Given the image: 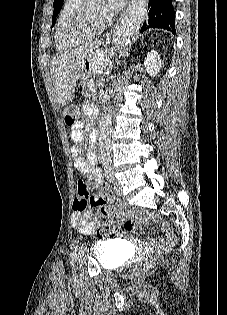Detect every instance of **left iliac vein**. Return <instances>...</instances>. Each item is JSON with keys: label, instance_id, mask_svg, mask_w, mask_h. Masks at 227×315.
<instances>
[{"label": "left iliac vein", "instance_id": "4c4485c4", "mask_svg": "<svg viewBox=\"0 0 227 315\" xmlns=\"http://www.w3.org/2000/svg\"><path fill=\"white\" fill-rule=\"evenodd\" d=\"M113 187H114L115 193L117 195H121V185H120V182L117 179H114Z\"/></svg>", "mask_w": 227, "mask_h": 315}]
</instances>
